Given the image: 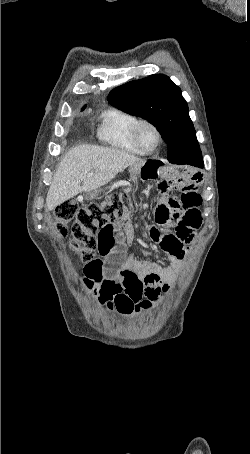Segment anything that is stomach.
<instances>
[{
	"label": "stomach",
	"mask_w": 250,
	"mask_h": 454,
	"mask_svg": "<svg viewBox=\"0 0 250 454\" xmlns=\"http://www.w3.org/2000/svg\"><path fill=\"white\" fill-rule=\"evenodd\" d=\"M131 176H151L152 179H155L159 175V167L154 161H145L140 166H130L129 168Z\"/></svg>",
	"instance_id": "obj_1"
}]
</instances>
